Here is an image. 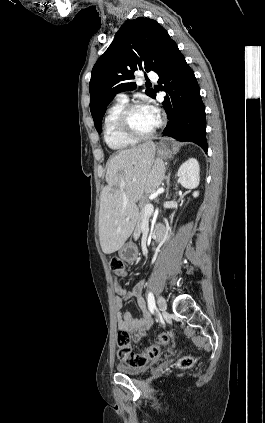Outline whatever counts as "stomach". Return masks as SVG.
<instances>
[{
	"label": "stomach",
	"mask_w": 265,
	"mask_h": 423,
	"mask_svg": "<svg viewBox=\"0 0 265 423\" xmlns=\"http://www.w3.org/2000/svg\"><path fill=\"white\" fill-rule=\"evenodd\" d=\"M173 150V145L169 141H165L158 149V153L161 158L168 159L172 156ZM118 254L121 259L127 262H135L139 256L138 248L132 241L125 243L122 248L119 249Z\"/></svg>",
	"instance_id": "obj_1"
}]
</instances>
